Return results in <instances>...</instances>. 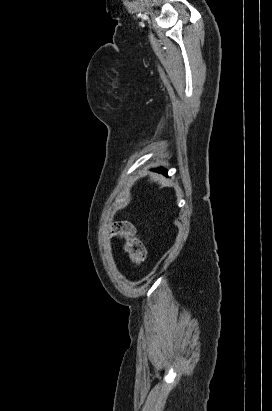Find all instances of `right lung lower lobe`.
Instances as JSON below:
<instances>
[{"label": "right lung lower lobe", "instance_id": "obj_1", "mask_svg": "<svg viewBox=\"0 0 272 411\" xmlns=\"http://www.w3.org/2000/svg\"><path fill=\"white\" fill-rule=\"evenodd\" d=\"M158 172H161V173H163V174H166V173H167V171H166L165 169H162V168H160V169L158 170Z\"/></svg>", "mask_w": 272, "mask_h": 411}]
</instances>
